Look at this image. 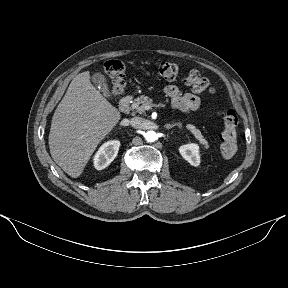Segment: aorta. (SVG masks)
<instances>
[{"label": "aorta", "mask_w": 288, "mask_h": 288, "mask_svg": "<svg viewBox=\"0 0 288 288\" xmlns=\"http://www.w3.org/2000/svg\"><path fill=\"white\" fill-rule=\"evenodd\" d=\"M147 142H154L158 139V136L155 131H147L144 135Z\"/></svg>", "instance_id": "obj_1"}]
</instances>
